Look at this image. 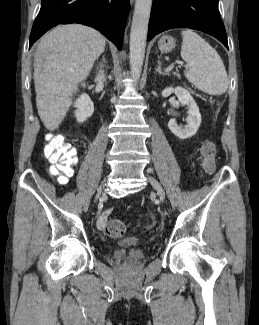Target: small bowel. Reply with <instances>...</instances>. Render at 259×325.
I'll return each instance as SVG.
<instances>
[{
  "mask_svg": "<svg viewBox=\"0 0 259 325\" xmlns=\"http://www.w3.org/2000/svg\"><path fill=\"white\" fill-rule=\"evenodd\" d=\"M108 218V212L102 214L99 218H98V227L100 229H104L106 221Z\"/></svg>",
  "mask_w": 259,
  "mask_h": 325,
  "instance_id": "c3829d8e",
  "label": "small bowel"
}]
</instances>
